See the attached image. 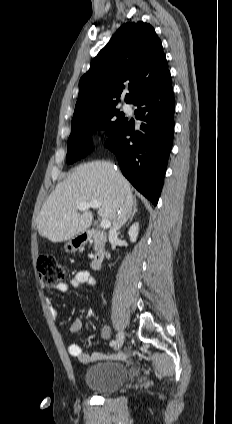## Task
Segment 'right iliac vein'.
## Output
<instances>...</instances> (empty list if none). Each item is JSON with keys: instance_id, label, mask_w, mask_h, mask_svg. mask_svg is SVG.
Returning <instances> with one entry per match:
<instances>
[{"instance_id": "obj_1", "label": "right iliac vein", "mask_w": 232, "mask_h": 424, "mask_svg": "<svg viewBox=\"0 0 232 424\" xmlns=\"http://www.w3.org/2000/svg\"><path fill=\"white\" fill-rule=\"evenodd\" d=\"M124 340H125V332L119 331L118 334H117L116 344L114 345V349L118 350L119 348H121V346L124 343Z\"/></svg>"}]
</instances>
